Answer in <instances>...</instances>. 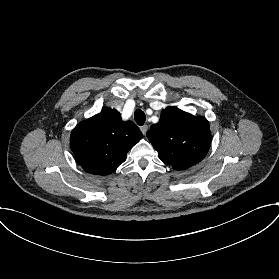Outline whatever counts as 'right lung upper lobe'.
I'll list each match as a JSON object with an SVG mask.
<instances>
[{
    "instance_id": "cb5924a9",
    "label": "right lung upper lobe",
    "mask_w": 279,
    "mask_h": 279,
    "mask_svg": "<svg viewBox=\"0 0 279 279\" xmlns=\"http://www.w3.org/2000/svg\"><path fill=\"white\" fill-rule=\"evenodd\" d=\"M142 137L132 121L123 122L117 110L104 108L73 129L70 146L86 172L105 176L125 161L127 152Z\"/></svg>"
}]
</instances>
